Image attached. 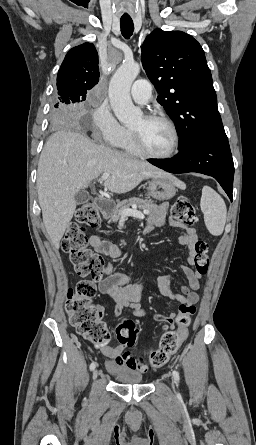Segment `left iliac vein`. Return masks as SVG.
Returning a JSON list of instances; mask_svg holds the SVG:
<instances>
[{"mask_svg":"<svg viewBox=\"0 0 256 445\" xmlns=\"http://www.w3.org/2000/svg\"><path fill=\"white\" fill-rule=\"evenodd\" d=\"M173 380H174V385H173V387L175 388V384H177V381L175 380L174 376H173Z\"/></svg>","mask_w":256,"mask_h":445,"instance_id":"obj_1","label":"left iliac vein"}]
</instances>
